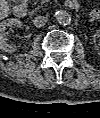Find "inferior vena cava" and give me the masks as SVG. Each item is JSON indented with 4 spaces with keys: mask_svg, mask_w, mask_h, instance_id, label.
I'll return each mask as SVG.
<instances>
[{
    "mask_svg": "<svg viewBox=\"0 0 100 118\" xmlns=\"http://www.w3.org/2000/svg\"><path fill=\"white\" fill-rule=\"evenodd\" d=\"M48 18L46 16H37L34 18L33 23L36 27H42L46 24Z\"/></svg>",
    "mask_w": 100,
    "mask_h": 118,
    "instance_id": "602c4592",
    "label": "inferior vena cava"
}]
</instances>
